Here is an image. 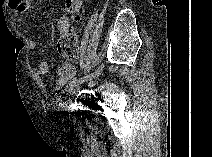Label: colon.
I'll return each mask as SVG.
<instances>
[{
    "mask_svg": "<svg viewBox=\"0 0 212 157\" xmlns=\"http://www.w3.org/2000/svg\"><path fill=\"white\" fill-rule=\"evenodd\" d=\"M73 19L77 21L78 16H74ZM57 51L62 57L68 60H76L78 58L79 47L77 33L73 27L60 33L57 41Z\"/></svg>",
    "mask_w": 212,
    "mask_h": 157,
    "instance_id": "obj_1",
    "label": "colon"
}]
</instances>
